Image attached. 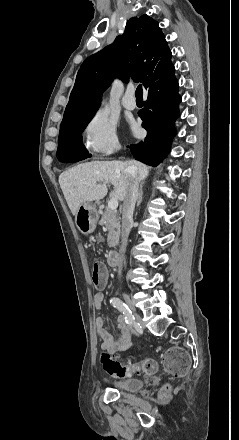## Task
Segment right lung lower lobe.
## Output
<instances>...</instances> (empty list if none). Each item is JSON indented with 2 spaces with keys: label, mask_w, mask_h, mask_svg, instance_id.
<instances>
[{
  "label": "right lung lower lobe",
  "mask_w": 239,
  "mask_h": 440,
  "mask_svg": "<svg viewBox=\"0 0 239 440\" xmlns=\"http://www.w3.org/2000/svg\"><path fill=\"white\" fill-rule=\"evenodd\" d=\"M174 71L172 64L145 85L148 103L139 115L143 120L142 127L148 134L143 142L129 147L137 160L151 166H156L166 157L176 134L174 123L179 117L178 104L181 97L178 95V82ZM90 156L83 144L57 153L61 162H77Z\"/></svg>",
  "instance_id": "98d812e1"
}]
</instances>
